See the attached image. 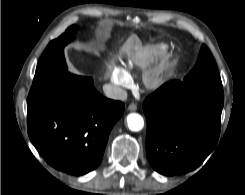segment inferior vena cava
I'll return each instance as SVG.
<instances>
[{
  "label": "inferior vena cava",
  "mask_w": 245,
  "mask_h": 195,
  "mask_svg": "<svg viewBox=\"0 0 245 195\" xmlns=\"http://www.w3.org/2000/svg\"><path fill=\"white\" fill-rule=\"evenodd\" d=\"M103 91L105 95L110 99L121 101H125L127 99L126 91L118 86L106 84L103 86Z\"/></svg>",
  "instance_id": "602c4592"
}]
</instances>
